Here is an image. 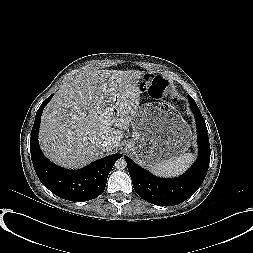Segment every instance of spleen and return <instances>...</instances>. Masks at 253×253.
I'll return each mask as SVG.
<instances>
[{"label": "spleen", "mask_w": 253, "mask_h": 253, "mask_svg": "<svg viewBox=\"0 0 253 253\" xmlns=\"http://www.w3.org/2000/svg\"><path fill=\"white\" fill-rule=\"evenodd\" d=\"M195 159L192 153H186L175 159L163 161L150 167V171L160 176H175L184 172Z\"/></svg>", "instance_id": "1"}]
</instances>
